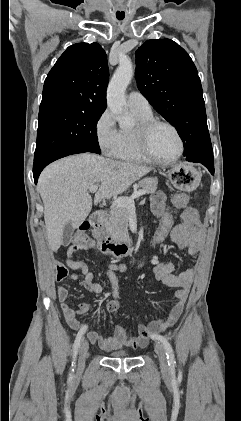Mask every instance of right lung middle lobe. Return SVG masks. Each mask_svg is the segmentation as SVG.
<instances>
[{
  "label": "right lung middle lobe",
  "mask_w": 241,
  "mask_h": 421,
  "mask_svg": "<svg viewBox=\"0 0 241 421\" xmlns=\"http://www.w3.org/2000/svg\"><path fill=\"white\" fill-rule=\"evenodd\" d=\"M102 113L67 109L39 111L34 162L76 150L100 154L96 125Z\"/></svg>",
  "instance_id": "right-lung-middle-lobe-1"
}]
</instances>
